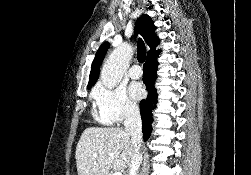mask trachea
I'll return each instance as SVG.
<instances>
[{"mask_svg": "<svg viewBox=\"0 0 251 175\" xmlns=\"http://www.w3.org/2000/svg\"><path fill=\"white\" fill-rule=\"evenodd\" d=\"M137 59L140 63H143L145 61L146 58V48H145V44L142 41V39H139L137 42Z\"/></svg>", "mask_w": 251, "mask_h": 175, "instance_id": "1", "label": "trachea"}]
</instances>
